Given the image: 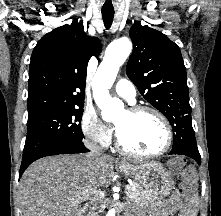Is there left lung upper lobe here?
Listing matches in <instances>:
<instances>
[{"mask_svg":"<svg viewBox=\"0 0 221 216\" xmlns=\"http://www.w3.org/2000/svg\"><path fill=\"white\" fill-rule=\"evenodd\" d=\"M127 75L143 97L169 120L173 149L199 153L192 127L186 68L179 47L166 35L134 22Z\"/></svg>","mask_w":221,"mask_h":216,"instance_id":"1","label":"left lung upper lobe"}]
</instances>
